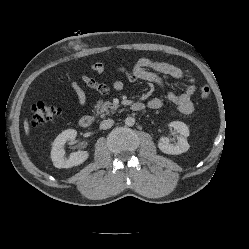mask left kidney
<instances>
[{
    "label": "left kidney",
    "mask_w": 249,
    "mask_h": 249,
    "mask_svg": "<svg viewBox=\"0 0 249 249\" xmlns=\"http://www.w3.org/2000/svg\"><path fill=\"white\" fill-rule=\"evenodd\" d=\"M174 130L179 133L175 144L169 143L167 137H161L158 142V148L166 154L178 155L182 154L190 148L187 137L189 136L188 126L181 121H174L169 124Z\"/></svg>",
    "instance_id": "left-kidney-1"
}]
</instances>
